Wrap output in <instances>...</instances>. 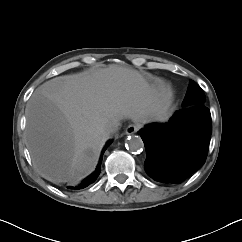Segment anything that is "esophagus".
I'll use <instances>...</instances> for the list:
<instances>
[{
  "mask_svg": "<svg viewBox=\"0 0 242 242\" xmlns=\"http://www.w3.org/2000/svg\"><path fill=\"white\" fill-rule=\"evenodd\" d=\"M140 129V126L137 124H130L127 128L125 133L127 135H132L134 133H136L138 130Z\"/></svg>",
  "mask_w": 242,
  "mask_h": 242,
  "instance_id": "34e87169",
  "label": "esophagus"
}]
</instances>
